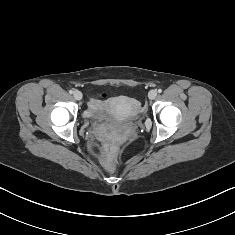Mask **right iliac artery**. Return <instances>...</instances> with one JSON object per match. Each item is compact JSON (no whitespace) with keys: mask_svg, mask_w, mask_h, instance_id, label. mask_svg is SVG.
Returning a JSON list of instances; mask_svg holds the SVG:
<instances>
[{"mask_svg":"<svg viewBox=\"0 0 235 235\" xmlns=\"http://www.w3.org/2000/svg\"><path fill=\"white\" fill-rule=\"evenodd\" d=\"M69 93L72 94V93H73V90H70Z\"/></svg>","mask_w":235,"mask_h":235,"instance_id":"right-iliac-artery-1","label":"right iliac artery"}]
</instances>
